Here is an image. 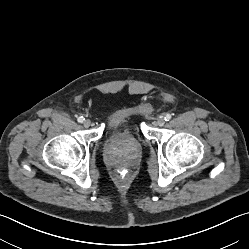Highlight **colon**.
Here are the masks:
<instances>
[{
    "instance_id": "obj_1",
    "label": "colon",
    "mask_w": 249,
    "mask_h": 249,
    "mask_svg": "<svg viewBox=\"0 0 249 249\" xmlns=\"http://www.w3.org/2000/svg\"><path fill=\"white\" fill-rule=\"evenodd\" d=\"M118 175H119V177H121V178H127L128 177V175H129V171H128V169H126V168H120L119 170H118Z\"/></svg>"
}]
</instances>
